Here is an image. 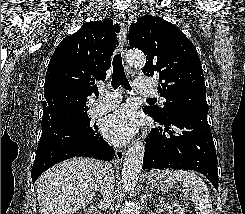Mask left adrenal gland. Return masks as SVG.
Masks as SVG:
<instances>
[{"label":"left adrenal gland","instance_id":"obj_1","mask_svg":"<svg viewBox=\"0 0 245 214\" xmlns=\"http://www.w3.org/2000/svg\"><path fill=\"white\" fill-rule=\"evenodd\" d=\"M149 189H151V191H154L153 188H150L149 183H147V186H146V193L149 192Z\"/></svg>","mask_w":245,"mask_h":214}]
</instances>
